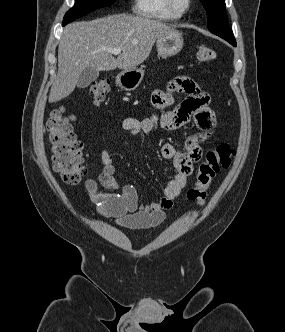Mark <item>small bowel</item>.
Segmentation results:
<instances>
[{"label":"small bowel","instance_id":"c3829d8e","mask_svg":"<svg viewBox=\"0 0 285 332\" xmlns=\"http://www.w3.org/2000/svg\"><path fill=\"white\" fill-rule=\"evenodd\" d=\"M174 92H186L188 97L178 105V100H173ZM209 100V94L186 75L171 80L167 90H156L152 95V103L156 108L176 107L162 114L165 128L176 129L194 121L200 132L187 138L183 150L170 143L161 147L162 157L172 160L174 173L165 184L162 198L147 205L139 202L137 190L132 185H126L118 192L120 186L115 178V159L108 150H102L103 168L98 178L85 181L92 208L100 215L114 218L118 225L124 227L150 228L161 224L174 200L186 187L194 163L201 159V144L210 137L216 126V115L209 107ZM154 123L153 118H125L121 126L128 138L123 144L128 145L129 139L141 132H149ZM99 185L107 191H100Z\"/></svg>","mask_w":285,"mask_h":332}]
</instances>
